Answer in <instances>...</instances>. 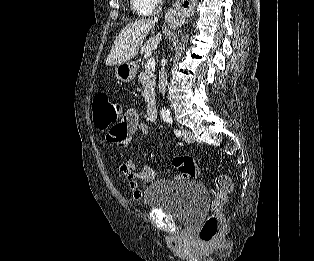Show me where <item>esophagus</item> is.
I'll list each match as a JSON object with an SVG mask.
<instances>
[{"label": "esophagus", "mask_w": 314, "mask_h": 261, "mask_svg": "<svg viewBox=\"0 0 314 261\" xmlns=\"http://www.w3.org/2000/svg\"><path fill=\"white\" fill-rule=\"evenodd\" d=\"M173 13H176V10L169 11L168 15H172Z\"/></svg>", "instance_id": "34e87169"}]
</instances>
